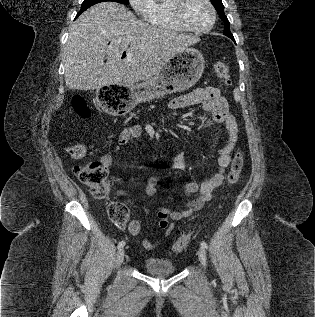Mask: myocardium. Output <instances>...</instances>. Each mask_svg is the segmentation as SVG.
<instances>
[{"instance_id":"1","label":"myocardium","mask_w":315,"mask_h":317,"mask_svg":"<svg viewBox=\"0 0 315 317\" xmlns=\"http://www.w3.org/2000/svg\"><path fill=\"white\" fill-rule=\"evenodd\" d=\"M188 0H172V4H171V11H172V15L173 18L175 20V22L183 29L189 32H193V33H206L208 31H210L216 21V10L211 2V0H204V2L207 4L209 10H210V14H211V19H210V23L203 28H194L192 26H190L185 18H184V9H185V5L187 3Z\"/></svg>"}]
</instances>
